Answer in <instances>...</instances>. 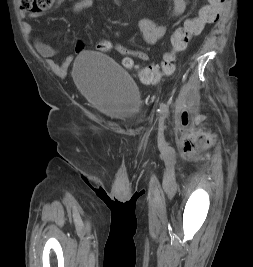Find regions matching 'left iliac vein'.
<instances>
[{"label": "left iliac vein", "instance_id": "1", "mask_svg": "<svg viewBox=\"0 0 253 267\" xmlns=\"http://www.w3.org/2000/svg\"><path fill=\"white\" fill-rule=\"evenodd\" d=\"M164 119H161L159 122V129H158V143L159 144H164L165 138H164Z\"/></svg>", "mask_w": 253, "mask_h": 267}]
</instances>
